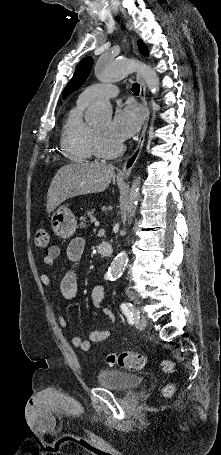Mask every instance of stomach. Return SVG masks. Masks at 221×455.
Instances as JSON below:
<instances>
[{"instance_id":"stomach-1","label":"stomach","mask_w":221,"mask_h":455,"mask_svg":"<svg viewBox=\"0 0 221 455\" xmlns=\"http://www.w3.org/2000/svg\"><path fill=\"white\" fill-rule=\"evenodd\" d=\"M53 232L62 239H68L76 231V218L66 206H60L51 216Z\"/></svg>"}]
</instances>
